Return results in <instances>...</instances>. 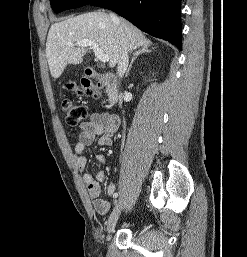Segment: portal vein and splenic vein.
Here are the masks:
<instances>
[{
  "label": "portal vein and splenic vein",
  "mask_w": 247,
  "mask_h": 257,
  "mask_svg": "<svg viewBox=\"0 0 247 257\" xmlns=\"http://www.w3.org/2000/svg\"><path fill=\"white\" fill-rule=\"evenodd\" d=\"M67 45L70 47H73V46L91 47L93 49L97 59H99L103 63L109 61V56L104 54L103 50L94 41H91L88 39H83V40L77 41L76 43H68Z\"/></svg>",
  "instance_id": "portal-vein-and-splenic-vein-1"
}]
</instances>
